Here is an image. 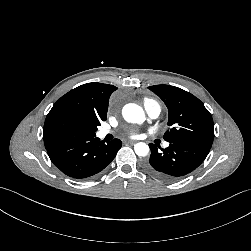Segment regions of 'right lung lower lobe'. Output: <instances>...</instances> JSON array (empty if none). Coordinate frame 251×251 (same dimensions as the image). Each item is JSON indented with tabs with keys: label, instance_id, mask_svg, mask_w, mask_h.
Wrapping results in <instances>:
<instances>
[{
	"label": "right lung lower lobe",
	"instance_id": "98d812e1",
	"mask_svg": "<svg viewBox=\"0 0 251 251\" xmlns=\"http://www.w3.org/2000/svg\"><path fill=\"white\" fill-rule=\"evenodd\" d=\"M121 146L119 139L105 144L93 136L51 142L46 150L51 161L64 174L84 179L102 171L114 159Z\"/></svg>",
	"mask_w": 251,
	"mask_h": 251
}]
</instances>
